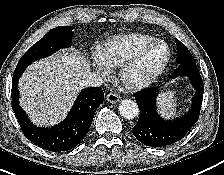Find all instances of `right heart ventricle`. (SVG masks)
<instances>
[{"label":"right heart ventricle","mask_w":224,"mask_h":175,"mask_svg":"<svg viewBox=\"0 0 224 175\" xmlns=\"http://www.w3.org/2000/svg\"><path fill=\"white\" fill-rule=\"evenodd\" d=\"M154 40V37L142 33L115 35L102 44L98 55L108 67H117L131 58L141 47Z\"/></svg>","instance_id":"right-heart-ventricle-1"}]
</instances>
